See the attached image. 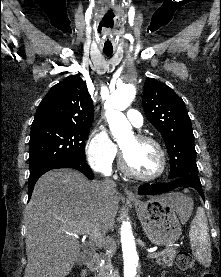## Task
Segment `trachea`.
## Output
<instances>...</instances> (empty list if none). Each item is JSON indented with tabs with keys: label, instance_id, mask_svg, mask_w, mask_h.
I'll use <instances>...</instances> for the list:
<instances>
[{
	"label": "trachea",
	"instance_id": "trachea-1",
	"mask_svg": "<svg viewBox=\"0 0 221 277\" xmlns=\"http://www.w3.org/2000/svg\"><path fill=\"white\" fill-rule=\"evenodd\" d=\"M112 53H113V51H104V54H105L106 56H110Z\"/></svg>",
	"mask_w": 221,
	"mask_h": 277
}]
</instances>
